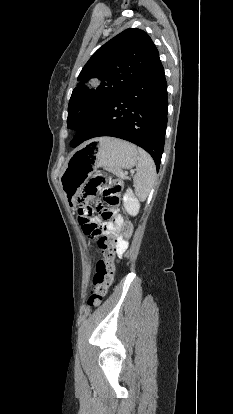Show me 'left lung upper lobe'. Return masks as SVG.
<instances>
[{
	"label": "left lung upper lobe",
	"instance_id": "5c2ea615",
	"mask_svg": "<svg viewBox=\"0 0 233 414\" xmlns=\"http://www.w3.org/2000/svg\"><path fill=\"white\" fill-rule=\"evenodd\" d=\"M159 52L146 32L124 30L101 46L83 67L69 105L67 127L79 130L141 77Z\"/></svg>",
	"mask_w": 233,
	"mask_h": 414
}]
</instances>
